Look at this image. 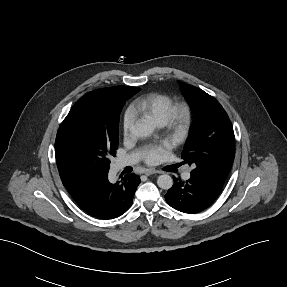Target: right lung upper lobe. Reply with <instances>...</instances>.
I'll list each match as a JSON object with an SVG mask.
<instances>
[{
    "instance_id": "right-lung-upper-lobe-1",
    "label": "right lung upper lobe",
    "mask_w": 287,
    "mask_h": 287,
    "mask_svg": "<svg viewBox=\"0 0 287 287\" xmlns=\"http://www.w3.org/2000/svg\"><path fill=\"white\" fill-rule=\"evenodd\" d=\"M138 89L139 88L137 87L115 86V87L103 88L100 90L110 93L111 98L116 100L118 98L122 99L128 97L131 94L135 93ZM58 169L60 171V174L67 178L84 176L83 169L74 162H69L61 167L58 166Z\"/></svg>"
}]
</instances>
